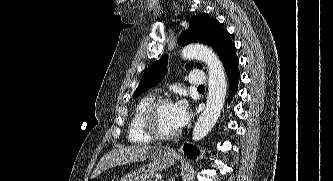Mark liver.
Returning <instances> with one entry per match:
<instances>
[{
	"label": "liver",
	"mask_w": 333,
	"mask_h": 181,
	"mask_svg": "<svg viewBox=\"0 0 333 181\" xmlns=\"http://www.w3.org/2000/svg\"><path fill=\"white\" fill-rule=\"evenodd\" d=\"M156 150H161V147L134 145L116 148L102 157L93 171L92 178L97 177L109 168L133 162H143L147 158L151 159L152 153Z\"/></svg>",
	"instance_id": "6515ba94"
}]
</instances>
